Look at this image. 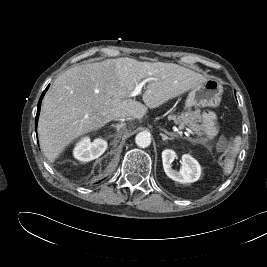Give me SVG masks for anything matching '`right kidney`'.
Here are the masks:
<instances>
[{
  "instance_id": "ca27d5eb",
  "label": "right kidney",
  "mask_w": 267,
  "mask_h": 267,
  "mask_svg": "<svg viewBox=\"0 0 267 267\" xmlns=\"http://www.w3.org/2000/svg\"><path fill=\"white\" fill-rule=\"evenodd\" d=\"M107 149V142L101 138L90 141L89 137L82 138L73 151L74 157L82 162H89L100 157Z\"/></svg>"
}]
</instances>
